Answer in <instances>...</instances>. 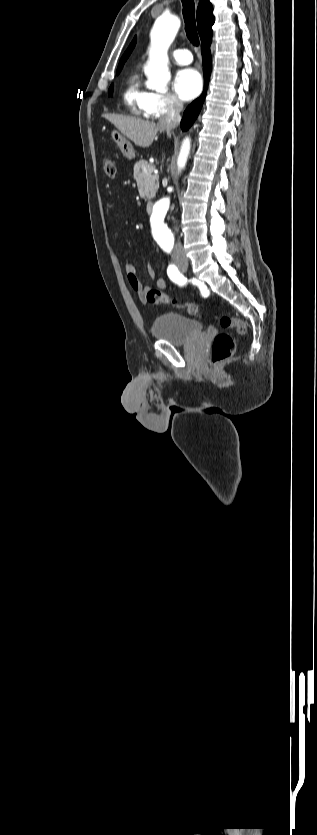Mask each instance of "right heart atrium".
Listing matches in <instances>:
<instances>
[{"instance_id":"1","label":"right heart atrium","mask_w":317,"mask_h":835,"mask_svg":"<svg viewBox=\"0 0 317 835\" xmlns=\"http://www.w3.org/2000/svg\"><path fill=\"white\" fill-rule=\"evenodd\" d=\"M182 109V102L172 93L150 92L145 114L152 119H158L178 113Z\"/></svg>"}]
</instances>
